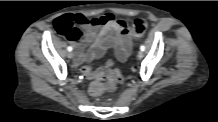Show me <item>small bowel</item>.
I'll list each match as a JSON object with an SVG mask.
<instances>
[{
	"instance_id": "c3829d8e",
	"label": "small bowel",
	"mask_w": 218,
	"mask_h": 122,
	"mask_svg": "<svg viewBox=\"0 0 218 122\" xmlns=\"http://www.w3.org/2000/svg\"><path fill=\"white\" fill-rule=\"evenodd\" d=\"M75 23L85 30L81 42L72 40L77 55V63L92 62L101 58L107 50L113 49L119 61H125L131 52L133 31L124 20L119 19L117 11L87 18L81 14L74 16ZM89 49L85 51V47Z\"/></svg>"
}]
</instances>
